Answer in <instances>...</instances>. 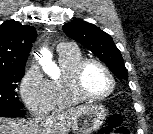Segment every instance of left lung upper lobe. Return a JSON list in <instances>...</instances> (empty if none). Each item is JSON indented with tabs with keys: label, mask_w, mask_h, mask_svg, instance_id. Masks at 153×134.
<instances>
[{
	"label": "left lung upper lobe",
	"mask_w": 153,
	"mask_h": 134,
	"mask_svg": "<svg viewBox=\"0 0 153 134\" xmlns=\"http://www.w3.org/2000/svg\"><path fill=\"white\" fill-rule=\"evenodd\" d=\"M62 29L68 37L81 43L100 58L117 78L128 80L122 56L110 35L81 19L65 24Z\"/></svg>",
	"instance_id": "1"
}]
</instances>
